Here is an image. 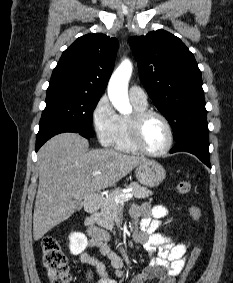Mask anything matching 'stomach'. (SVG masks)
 Wrapping results in <instances>:
<instances>
[{
    "label": "stomach",
    "mask_w": 233,
    "mask_h": 283,
    "mask_svg": "<svg viewBox=\"0 0 233 283\" xmlns=\"http://www.w3.org/2000/svg\"><path fill=\"white\" fill-rule=\"evenodd\" d=\"M137 180L148 187H156L165 179V169L155 160H147L135 170Z\"/></svg>",
    "instance_id": "0dacf381"
}]
</instances>
